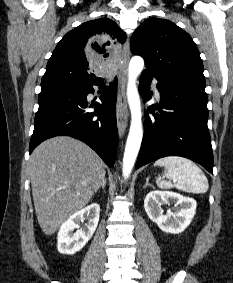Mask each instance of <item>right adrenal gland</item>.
I'll list each match as a JSON object with an SVG mask.
<instances>
[{"instance_id": "right-adrenal-gland-1", "label": "right adrenal gland", "mask_w": 233, "mask_h": 283, "mask_svg": "<svg viewBox=\"0 0 233 283\" xmlns=\"http://www.w3.org/2000/svg\"><path fill=\"white\" fill-rule=\"evenodd\" d=\"M106 184H107V182H106V178H105V176H104V178H103L102 182L100 183V185L98 186L96 192H97L100 188L105 189Z\"/></svg>"}]
</instances>
